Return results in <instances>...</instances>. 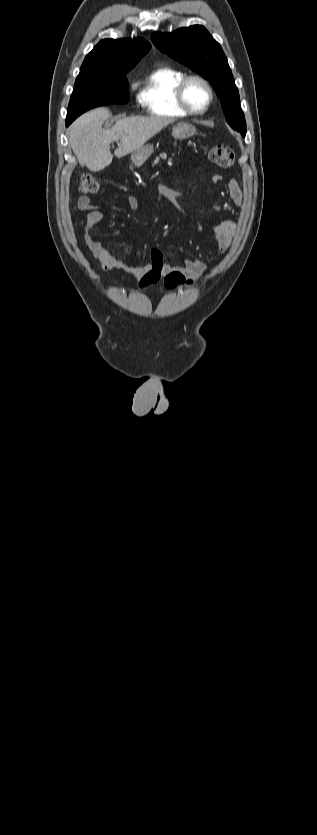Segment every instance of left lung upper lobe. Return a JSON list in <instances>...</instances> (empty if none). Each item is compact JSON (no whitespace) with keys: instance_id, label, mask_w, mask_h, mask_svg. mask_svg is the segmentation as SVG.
Wrapping results in <instances>:
<instances>
[{"instance_id":"obj_1","label":"left lung upper lobe","mask_w":317,"mask_h":835,"mask_svg":"<svg viewBox=\"0 0 317 835\" xmlns=\"http://www.w3.org/2000/svg\"><path fill=\"white\" fill-rule=\"evenodd\" d=\"M155 46L208 79L221 100L228 124L243 136L245 117L237 86L220 44L201 25L180 28L172 33L151 35Z\"/></svg>"}]
</instances>
